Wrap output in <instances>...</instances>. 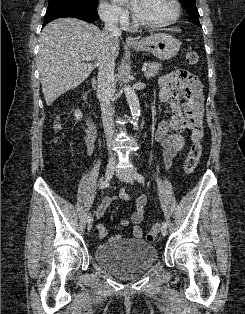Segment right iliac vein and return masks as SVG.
Masks as SVG:
<instances>
[{"instance_id": "right-iliac-vein-1", "label": "right iliac vein", "mask_w": 245, "mask_h": 314, "mask_svg": "<svg viewBox=\"0 0 245 314\" xmlns=\"http://www.w3.org/2000/svg\"><path fill=\"white\" fill-rule=\"evenodd\" d=\"M113 174H114V165L113 164H109L107 169H106V173H105L106 181L110 180L112 178ZM92 222H93V219L91 217V220L88 221V226H87L88 230H91Z\"/></svg>"}]
</instances>
